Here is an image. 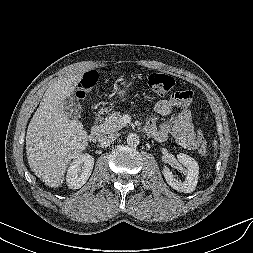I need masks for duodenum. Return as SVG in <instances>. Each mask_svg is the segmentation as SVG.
I'll return each instance as SVG.
<instances>
[{"label":"duodenum","instance_id":"duodenum-1","mask_svg":"<svg viewBox=\"0 0 253 253\" xmlns=\"http://www.w3.org/2000/svg\"><path fill=\"white\" fill-rule=\"evenodd\" d=\"M102 121H103L102 115L101 114L96 115L93 126L89 133V140L91 142H96L98 140L100 136Z\"/></svg>","mask_w":253,"mask_h":253}]
</instances>
